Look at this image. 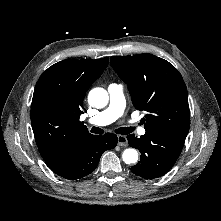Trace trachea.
I'll return each instance as SVG.
<instances>
[{
  "label": "trachea",
  "instance_id": "obj_1",
  "mask_svg": "<svg viewBox=\"0 0 221 221\" xmlns=\"http://www.w3.org/2000/svg\"><path fill=\"white\" fill-rule=\"evenodd\" d=\"M133 130L134 129L132 127H120L118 129H116L115 132L117 134L125 135V134H129V133L133 132ZM91 132L95 133V134H103L104 131L101 128L92 127Z\"/></svg>",
  "mask_w": 221,
  "mask_h": 221
}]
</instances>
